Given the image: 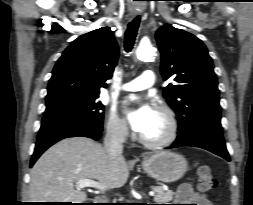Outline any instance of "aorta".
I'll return each mask as SVG.
<instances>
[{
    "label": "aorta",
    "instance_id": "obj_1",
    "mask_svg": "<svg viewBox=\"0 0 253 205\" xmlns=\"http://www.w3.org/2000/svg\"><path fill=\"white\" fill-rule=\"evenodd\" d=\"M156 50L152 45H140L136 49V56L141 61H150L154 59Z\"/></svg>",
    "mask_w": 253,
    "mask_h": 205
}]
</instances>
